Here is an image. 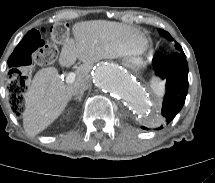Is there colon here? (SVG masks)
<instances>
[{
  "instance_id": "5ec220e1",
  "label": "colon",
  "mask_w": 215,
  "mask_h": 183,
  "mask_svg": "<svg viewBox=\"0 0 215 183\" xmlns=\"http://www.w3.org/2000/svg\"><path fill=\"white\" fill-rule=\"evenodd\" d=\"M68 26L57 23L50 27H35L19 40L9 58L8 90L11 109L16 114L25 109V93L29 78L27 66L33 62L38 66H48L56 58L57 49L51 44L54 39L60 42L66 40Z\"/></svg>"
}]
</instances>
